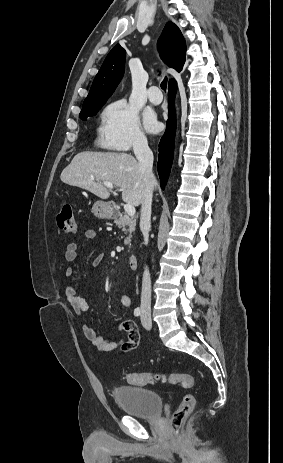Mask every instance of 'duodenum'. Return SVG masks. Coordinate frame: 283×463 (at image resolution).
<instances>
[{"mask_svg":"<svg viewBox=\"0 0 283 463\" xmlns=\"http://www.w3.org/2000/svg\"><path fill=\"white\" fill-rule=\"evenodd\" d=\"M109 213L111 216L115 217L118 215V211L113 204L108 205ZM129 266L132 270H137L138 268V258L137 256H130L129 257Z\"/></svg>","mask_w":283,"mask_h":463,"instance_id":"obj_1","label":"duodenum"}]
</instances>
